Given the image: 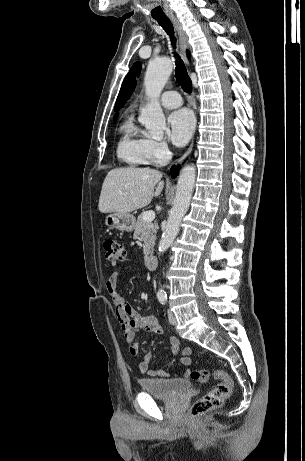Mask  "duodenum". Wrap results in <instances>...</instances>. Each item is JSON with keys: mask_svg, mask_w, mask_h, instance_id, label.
Segmentation results:
<instances>
[{"mask_svg": "<svg viewBox=\"0 0 305 461\" xmlns=\"http://www.w3.org/2000/svg\"><path fill=\"white\" fill-rule=\"evenodd\" d=\"M157 264V259L153 252H149L147 256L145 257V266L149 269L152 270L156 267Z\"/></svg>", "mask_w": 305, "mask_h": 461, "instance_id": "1", "label": "duodenum"}]
</instances>
